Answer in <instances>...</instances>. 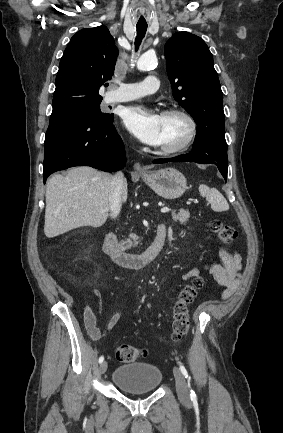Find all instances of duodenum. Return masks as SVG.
Returning a JSON list of instances; mask_svg holds the SVG:
<instances>
[{
  "label": "duodenum",
  "instance_id": "obj_1",
  "mask_svg": "<svg viewBox=\"0 0 283 433\" xmlns=\"http://www.w3.org/2000/svg\"><path fill=\"white\" fill-rule=\"evenodd\" d=\"M167 228L160 224L156 228V235L148 248L140 254L125 252L119 244L115 233L110 232L106 235L103 243V251L119 266L130 269H141L153 262L161 252Z\"/></svg>",
  "mask_w": 283,
  "mask_h": 433
}]
</instances>
